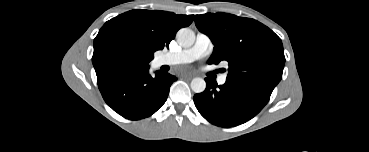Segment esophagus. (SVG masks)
<instances>
[{"label":"esophagus","mask_w":369,"mask_h":152,"mask_svg":"<svg viewBox=\"0 0 369 152\" xmlns=\"http://www.w3.org/2000/svg\"><path fill=\"white\" fill-rule=\"evenodd\" d=\"M194 76L195 75L192 74V73L182 75V77L185 78V79H192Z\"/></svg>","instance_id":"esophagus-1"}]
</instances>
